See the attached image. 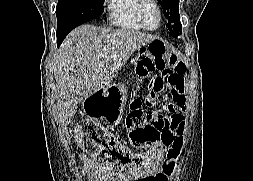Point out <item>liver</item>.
I'll use <instances>...</instances> for the list:
<instances>
[{
  "label": "liver",
  "mask_w": 253,
  "mask_h": 181,
  "mask_svg": "<svg viewBox=\"0 0 253 181\" xmlns=\"http://www.w3.org/2000/svg\"><path fill=\"white\" fill-rule=\"evenodd\" d=\"M155 39L148 33L108 26L72 30L53 57L61 123L69 124L80 102L109 85L133 52Z\"/></svg>",
  "instance_id": "obj_1"
}]
</instances>
